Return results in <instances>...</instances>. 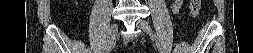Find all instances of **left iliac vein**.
Listing matches in <instances>:
<instances>
[{"instance_id":"1","label":"left iliac vein","mask_w":253,"mask_h":53,"mask_svg":"<svg viewBox=\"0 0 253 53\" xmlns=\"http://www.w3.org/2000/svg\"><path fill=\"white\" fill-rule=\"evenodd\" d=\"M136 25H137L139 28L143 29L144 31L148 32L149 35H150V37H151L152 39H154V36H152L153 31H152V29H151V27H150V25H149V23H148L147 21L142 20V19H139V20L136 22Z\"/></svg>"}]
</instances>
